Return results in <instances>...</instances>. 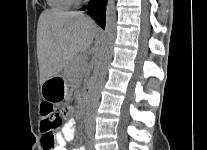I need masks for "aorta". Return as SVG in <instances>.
I'll use <instances>...</instances> for the list:
<instances>
[{"label": "aorta", "mask_w": 207, "mask_h": 150, "mask_svg": "<svg viewBox=\"0 0 207 150\" xmlns=\"http://www.w3.org/2000/svg\"><path fill=\"white\" fill-rule=\"evenodd\" d=\"M116 38V10L115 0H108L105 16V31L102 39L100 57L89 91L88 106L93 111L99 102L100 92L104 85V80L107 72V65L113 54V47Z\"/></svg>", "instance_id": "762f6f07"}]
</instances>
